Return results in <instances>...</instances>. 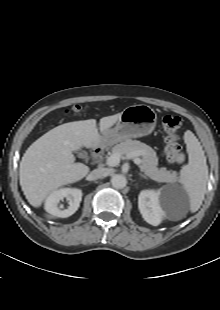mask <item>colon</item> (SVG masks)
<instances>
[{"instance_id":"5ec220e1","label":"colon","mask_w":220,"mask_h":310,"mask_svg":"<svg viewBox=\"0 0 220 310\" xmlns=\"http://www.w3.org/2000/svg\"><path fill=\"white\" fill-rule=\"evenodd\" d=\"M83 108L74 106L73 112L78 113ZM162 127L166 133L165 137V153L171 162L181 163L184 160V155L179 143L178 131L181 127V119L177 115H165L162 118Z\"/></svg>"}]
</instances>
